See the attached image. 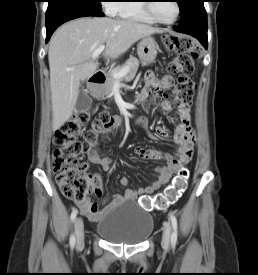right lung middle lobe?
Here are the masks:
<instances>
[{"mask_svg": "<svg viewBox=\"0 0 258 275\" xmlns=\"http://www.w3.org/2000/svg\"><path fill=\"white\" fill-rule=\"evenodd\" d=\"M63 4H79L101 9V0H49L48 9H52Z\"/></svg>", "mask_w": 258, "mask_h": 275, "instance_id": "obj_1", "label": "right lung middle lobe"}]
</instances>
